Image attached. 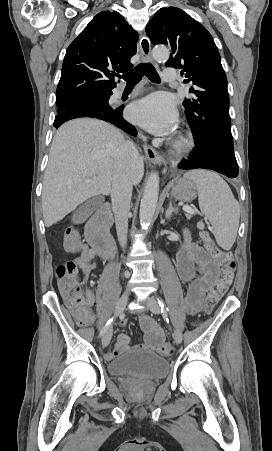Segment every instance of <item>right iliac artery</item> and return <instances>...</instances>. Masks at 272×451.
Segmentation results:
<instances>
[{"label":"right iliac artery","instance_id":"obj_1","mask_svg":"<svg viewBox=\"0 0 272 451\" xmlns=\"http://www.w3.org/2000/svg\"><path fill=\"white\" fill-rule=\"evenodd\" d=\"M113 318H110L107 322H106V324H105V326L103 327V329L101 330V332H100V336H102L110 327H111V325H112V323H113Z\"/></svg>","mask_w":272,"mask_h":451}]
</instances>
